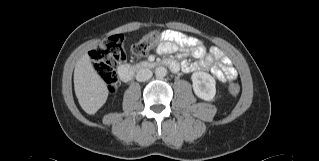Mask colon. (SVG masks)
<instances>
[{
    "label": "colon",
    "instance_id": "colon-1",
    "mask_svg": "<svg viewBox=\"0 0 319 161\" xmlns=\"http://www.w3.org/2000/svg\"><path fill=\"white\" fill-rule=\"evenodd\" d=\"M161 40V35L158 32H150L133 45V52L137 56H145L158 45ZM90 58L108 90L110 92L115 91L118 86L115 66L125 58L122 36L117 34L108 37L100 46L91 52ZM239 91L240 86L237 82H231L229 84V92L231 95L235 96Z\"/></svg>",
    "mask_w": 319,
    "mask_h": 161
}]
</instances>
